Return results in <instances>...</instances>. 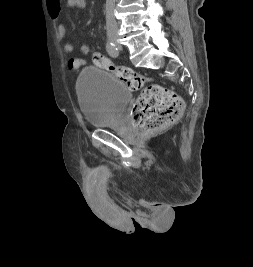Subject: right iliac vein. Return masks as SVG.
Returning <instances> with one entry per match:
<instances>
[{
  "label": "right iliac vein",
  "mask_w": 253,
  "mask_h": 267,
  "mask_svg": "<svg viewBox=\"0 0 253 267\" xmlns=\"http://www.w3.org/2000/svg\"><path fill=\"white\" fill-rule=\"evenodd\" d=\"M110 40H111L112 42H114V43L117 42V39H116V37H114V36H112V37L110 38Z\"/></svg>",
  "instance_id": "right-iliac-vein-1"
}]
</instances>
